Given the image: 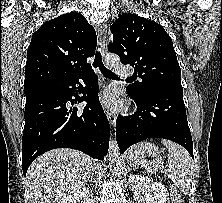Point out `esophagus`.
<instances>
[{"instance_id": "1", "label": "esophagus", "mask_w": 222, "mask_h": 203, "mask_svg": "<svg viewBox=\"0 0 222 203\" xmlns=\"http://www.w3.org/2000/svg\"><path fill=\"white\" fill-rule=\"evenodd\" d=\"M106 34H107V23L104 22L98 29V40L100 43V48L102 53L104 54L105 44H106ZM105 114L110 122L111 125H115L116 123V115L113 114L107 107H104Z\"/></svg>"}]
</instances>
